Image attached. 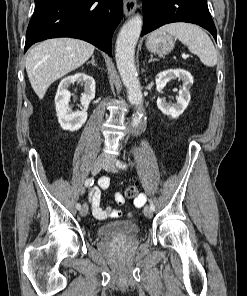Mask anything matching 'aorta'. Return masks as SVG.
Instances as JSON below:
<instances>
[{
    "label": "aorta",
    "mask_w": 247,
    "mask_h": 296,
    "mask_svg": "<svg viewBox=\"0 0 247 296\" xmlns=\"http://www.w3.org/2000/svg\"><path fill=\"white\" fill-rule=\"evenodd\" d=\"M142 29V18L135 15L121 28L116 40V64L123 84L127 89L128 100L138 107L132 119V126L137 127L143 116V94L134 64L135 47Z\"/></svg>",
    "instance_id": "obj_1"
}]
</instances>
